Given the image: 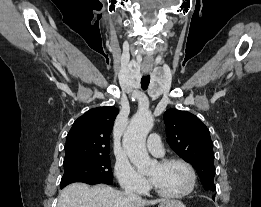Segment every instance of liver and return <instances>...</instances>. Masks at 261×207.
I'll use <instances>...</instances> for the list:
<instances>
[{
  "label": "liver",
  "instance_id": "liver-1",
  "mask_svg": "<svg viewBox=\"0 0 261 207\" xmlns=\"http://www.w3.org/2000/svg\"><path fill=\"white\" fill-rule=\"evenodd\" d=\"M162 201L129 199L125 193L105 184L90 188L84 183H72L62 190L57 207H145Z\"/></svg>",
  "mask_w": 261,
  "mask_h": 207
}]
</instances>
